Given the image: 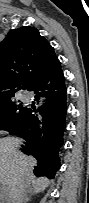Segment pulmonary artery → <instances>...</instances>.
<instances>
[{"instance_id": "obj_1", "label": "pulmonary artery", "mask_w": 89, "mask_h": 203, "mask_svg": "<svg viewBox=\"0 0 89 203\" xmlns=\"http://www.w3.org/2000/svg\"><path fill=\"white\" fill-rule=\"evenodd\" d=\"M21 100L23 102H26L28 100V97L26 95H21Z\"/></svg>"}]
</instances>
